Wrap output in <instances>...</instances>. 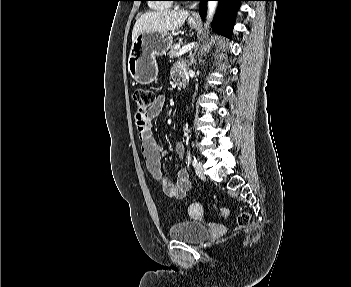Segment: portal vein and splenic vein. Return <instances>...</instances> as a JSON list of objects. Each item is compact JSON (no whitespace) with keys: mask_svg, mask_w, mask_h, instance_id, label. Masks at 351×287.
Returning <instances> with one entry per match:
<instances>
[{"mask_svg":"<svg viewBox=\"0 0 351 287\" xmlns=\"http://www.w3.org/2000/svg\"><path fill=\"white\" fill-rule=\"evenodd\" d=\"M194 46H195V43H191V44H188V45L182 47V49H180L179 52L177 53V56H181V55L185 54L186 52L191 50Z\"/></svg>","mask_w":351,"mask_h":287,"instance_id":"portal-vein-and-splenic-vein-1","label":"portal vein and splenic vein"}]
</instances>
